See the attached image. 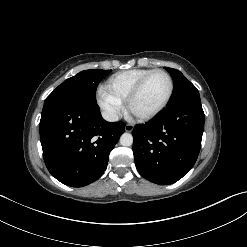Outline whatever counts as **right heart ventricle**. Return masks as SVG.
<instances>
[{
	"mask_svg": "<svg viewBox=\"0 0 247 247\" xmlns=\"http://www.w3.org/2000/svg\"><path fill=\"white\" fill-rule=\"evenodd\" d=\"M151 69H131L112 75L106 82L105 88L121 102H125L130 92L139 80Z\"/></svg>",
	"mask_w": 247,
	"mask_h": 247,
	"instance_id": "1",
	"label": "right heart ventricle"
}]
</instances>
